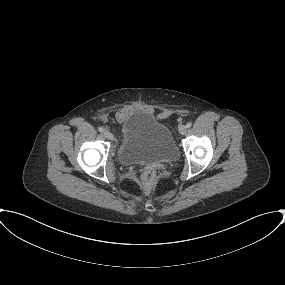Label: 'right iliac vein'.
Segmentation results:
<instances>
[{
	"mask_svg": "<svg viewBox=\"0 0 285 285\" xmlns=\"http://www.w3.org/2000/svg\"><path fill=\"white\" fill-rule=\"evenodd\" d=\"M104 136H105L107 139H109V140H112V139H113V134H112L110 131H108V130H105V131H104Z\"/></svg>",
	"mask_w": 285,
	"mask_h": 285,
	"instance_id": "right-iliac-vein-1",
	"label": "right iliac vein"
}]
</instances>
